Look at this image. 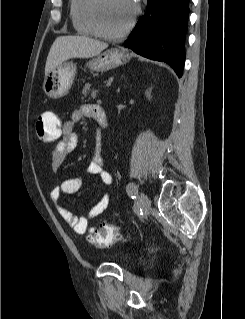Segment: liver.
I'll return each instance as SVG.
<instances>
[{
  "instance_id": "1",
  "label": "liver",
  "mask_w": 245,
  "mask_h": 319,
  "mask_svg": "<svg viewBox=\"0 0 245 319\" xmlns=\"http://www.w3.org/2000/svg\"><path fill=\"white\" fill-rule=\"evenodd\" d=\"M107 47V43L83 35L57 37L46 60L45 75L70 58L97 56Z\"/></svg>"
}]
</instances>
